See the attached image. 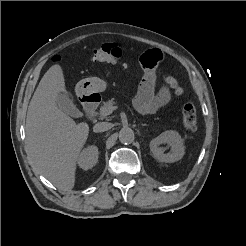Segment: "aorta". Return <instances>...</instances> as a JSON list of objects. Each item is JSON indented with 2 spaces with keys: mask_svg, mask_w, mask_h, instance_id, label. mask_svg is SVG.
I'll use <instances>...</instances> for the list:
<instances>
[{
  "mask_svg": "<svg viewBox=\"0 0 246 246\" xmlns=\"http://www.w3.org/2000/svg\"><path fill=\"white\" fill-rule=\"evenodd\" d=\"M134 131L131 128L124 127L119 132V141L123 144H130L134 140Z\"/></svg>",
  "mask_w": 246,
  "mask_h": 246,
  "instance_id": "aorta-1",
  "label": "aorta"
}]
</instances>
